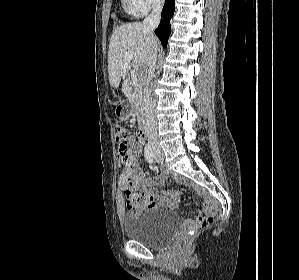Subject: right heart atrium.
Instances as JSON below:
<instances>
[{"label":"right heart atrium","instance_id":"right-heart-atrium-1","mask_svg":"<svg viewBox=\"0 0 299 280\" xmlns=\"http://www.w3.org/2000/svg\"><path fill=\"white\" fill-rule=\"evenodd\" d=\"M133 8L138 14H146L160 7L164 0H130Z\"/></svg>","mask_w":299,"mask_h":280}]
</instances>
